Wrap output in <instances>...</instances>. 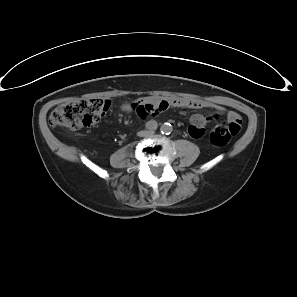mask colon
I'll return each instance as SVG.
<instances>
[{"mask_svg": "<svg viewBox=\"0 0 297 297\" xmlns=\"http://www.w3.org/2000/svg\"><path fill=\"white\" fill-rule=\"evenodd\" d=\"M110 107V101L102 98L80 99L64 103L50 114L49 121L53 127H65L77 130L90 127L100 121ZM239 115L214 126L210 141L216 146L226 145L241 129Z\"/></svg>", "mask_w": 297, "mask_h": 297, "instance_id": "colon-1", "label": "colon"}]
</instances>
